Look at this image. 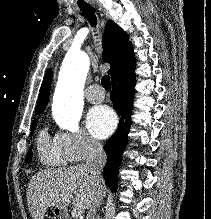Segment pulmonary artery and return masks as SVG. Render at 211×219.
I'll return each instance as SVG.
<instances>
[{
	"label": "pulmonary artery",
	"instance_id": "pulmonary-artery-1",
	"mask_svg": "<svg viewBox=\"0 0 211 219\" xmlns=\"http://www.w3.org/2000/svg\"><path fill=\"white\" fill-rule=\"evenodd\" d=\"M100 86L98 84H93L88 87L86 93V99L91 103H100L105 98V93L99 90Z\"/></svg>",
	"mask_w": 211,
	"mask_h": 219
}]
</instances>
